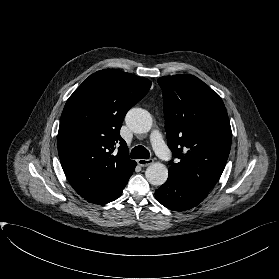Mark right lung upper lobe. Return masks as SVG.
<instances>
[{
  "instance_id": "obj_1",
  "label": "right lung upper lobe",
  "mask_w": 279,
  "mask_h": 279,
  "mask_svg": "<svg viewBox=\"0 0 279 279\" xmlns=\"http://www.w3.org/2000/svg\"><path fill=\"white\" fill-rule=\"evenodd\" d=\"M150 87L146 78L105 69L90 75L67 100L58 131L59 158L72 187L90 203L109 199L132 175L136 162L120 128ZM116 144L118 152L112 154Z\"/></svg>"
}]
</instances>
